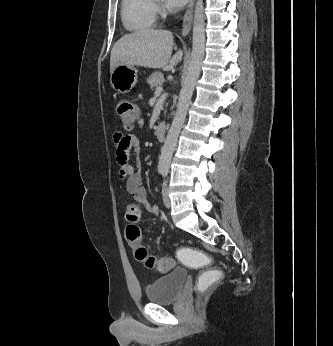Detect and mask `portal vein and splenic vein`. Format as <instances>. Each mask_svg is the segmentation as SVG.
Masks as SVG:
<instances>
[{"label":"portal vein and splenic vein","mask_w":333,"mask_h":346,"mask_svg":"<svg viewBox=\"0 0 333 346\" xmlns=\"http://www.w3.org/2000/svg\"><path fill=\"white\" fill-rule=\"evenodd\" d=\"M163 88L162 87H157L155 90V97H158L162 93Z\"/></svg>","instance_id":"obj_1"}]
</instances>
